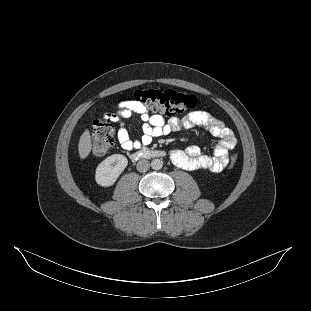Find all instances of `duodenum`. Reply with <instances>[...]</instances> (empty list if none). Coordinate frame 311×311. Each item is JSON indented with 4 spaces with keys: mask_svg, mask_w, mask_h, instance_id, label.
I'll return each mask as SVG.
<instances>
[{
    "mask_svg": "<svg viewBox=\"0 0 311 311\" xmlns=\"http://www.w3.org/2000/svg\"><path fill=\"white\" fill-rule=\"evenodd\" d=\"M165 156V152L162 150H152L148 148H143L131 154V159L133 161H138L141 159H150V158H161Z\"/></svg>",
    "mask_w": 311,
    "mask_h": 311,
    "instance_id": "duodenum-1",
    "label": "duodenum"
}]
</instances>
